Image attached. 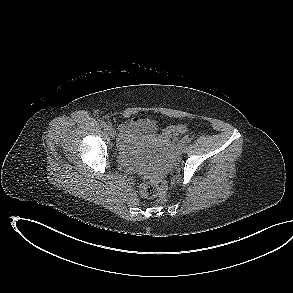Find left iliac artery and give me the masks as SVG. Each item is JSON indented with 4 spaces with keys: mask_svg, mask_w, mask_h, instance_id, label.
I'll list each match as a JSON object with an SVG mask.
<instances>
[{
    "mask_svg": "<svg viewBox=\"0 0 293 293\" xmlns=\"http://www.w3.org/2000/svg\"><path fill=\"white\" fill-rule=\"evenodd\" d=\"M190 141H191V140H190L189 138H185V139H184V143H187V144H188V143H190Z\"/></svg>",
    "mask_w": 293,
    "mask_h": 293,
    "instance_id": "obj_1",
    "label": "left iliac artery"
}]
</instances>
